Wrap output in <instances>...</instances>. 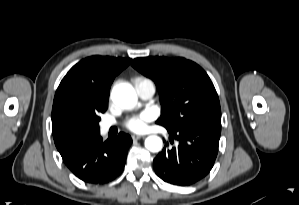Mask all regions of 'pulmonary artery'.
Masks as SVG:
<instances>
[{
  "label": "pulmonary artery",
  "instance_id": "pulmonary-artery-1",
  "mask_svg": "<svg viewBox=\"0 0 299 205\" xmlns=\"http://www.w3.org/2000/svg\"><path fill=\"white\" fill-rule=\"evenodd\" d=\"M135 87L138 95L144 99H150L155 94V85L154 83L146 78H137L135 80ZM112 126L111 122H103L102 123V129L104 131L109 130V128Z\"/></svg>",
  "mask_w": 299,
  "mask_h": 205
}]
</instances>
